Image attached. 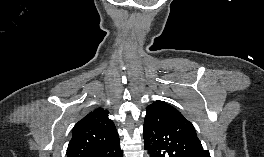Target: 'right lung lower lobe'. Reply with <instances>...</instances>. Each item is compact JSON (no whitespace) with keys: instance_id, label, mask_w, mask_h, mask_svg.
<instances>
[{"instance_id":"98d812e1","label":"right lung lower lobe","mask_w":264,"mask_h":157,"mask_svg":"<svg viewBox=\"0 0 264 157\" xmlns=\"http://www.w3.org/2000/svg\"><path fill=\"white\" fill-rule=\"evenodd\" d=\"M94 157H123V151L120 148V141L114 146L96 154Z\"/></svg>"}]
</instances>
